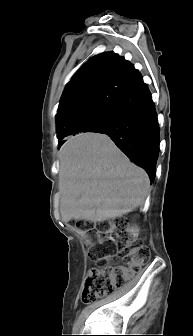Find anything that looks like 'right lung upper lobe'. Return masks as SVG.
I'll return each mask as SVG.
<instances>
[{
  "label": "right lung upper lobe",
  "mask_w": 193,
  "mask_h": 336,
  "mask_svg": "<svg viewBox=\"0 0 193 336\" xmlns=\"http://www.w3.org/2000/svg\"><path fill=\"white\" fill-rule=\"evenodd\" d=\"M137 74L133 65L113 52L91 57L63 92L57 112L58 139L77 134L71 128L79 117L111 109Z\"/></svg>",
  "instance_id": "1"
}]
</instances>
